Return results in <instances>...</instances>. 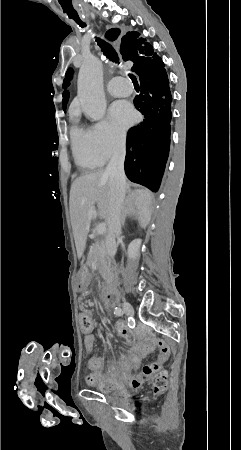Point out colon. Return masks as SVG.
Instances as JSON below:
<instances>
[{"instance_id":"colon-1","label":"colon","mask_w":241,"mask_h":450,"mask_svg":"<svg viewBox=\"0 0 241 450\" xmlns=\"http://www.w3.org/2000/svg\"><path fill=\"white\" fill-rule=\"evenodd\" d=\"M93 330V316L92 315H85L79 318V331L81 333L90 332ZM158 369H156L157 371ZM159 371V370H158ZM160 373L157 375L155 373L153 377V390L154 395H159L167 388L168 382H167V374L162 370L159 371Z\"/></svg>"}]
</instances>
